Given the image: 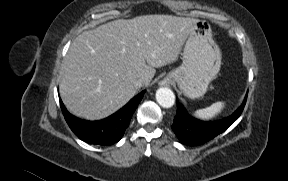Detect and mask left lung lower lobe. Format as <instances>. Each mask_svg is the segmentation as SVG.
<instances>
[{
	"label": "left lung lower lobe",
	"instance_id": "obj_1",
	"mask_svg": "<svg viewBox=\"0 0 288 181\" xmlns=\"http://www.w3.org/2000/svg\"><path fill=\"white\" fill-rule=\"evenodd\" d=\"M247 95L243 104L229 117L219 121L205 122L191 117L182 104L177 101V113L174 117L172 130L184 145H201L230 127L241 115Z\"/></svg>",
	"mask_w": 288,
	"mask_h": 181
}]
</instances>
